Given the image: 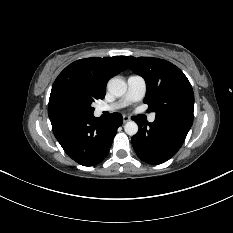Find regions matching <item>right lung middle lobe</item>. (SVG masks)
Instances as JSON below:
<instances>
[{
    "label": "right lung middle lobe",
    "mask_w": 233,
    "mask_h": 233,
    "mask_svg": "<svg viewBox=\"0 0 233 233\" xmlns=\"http://www.w3.org/2000/svg\"><path fill=\"white\" fill-rule=\"evenodd\" d=\"M96 98L73 87H61L50 95L48 115L93 114L91 106Z\"/></svg>",
    "instance_id": "obj_1"
}]
</instances>
